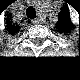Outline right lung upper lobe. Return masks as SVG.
<instances>
[{
  "mask_svg": "<svg viewBox=\"0 0 80 80\" xmlns=\"http://www.w3.org/2000/svg\"><path fill=\"white\" fill-rule=\"evenodd\" d=\"M13 31H14V32L16 31V27L12 28V31H11V32H13Z\"/></svg>",
  "mask_w": 80,
  "mask_h": 80,
  "instance_id": "1",
  "label": "right lung upper lobe"
}]
</instances>
